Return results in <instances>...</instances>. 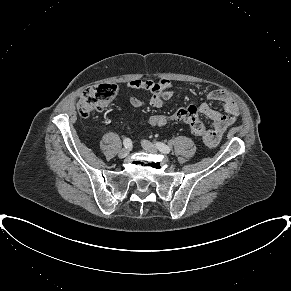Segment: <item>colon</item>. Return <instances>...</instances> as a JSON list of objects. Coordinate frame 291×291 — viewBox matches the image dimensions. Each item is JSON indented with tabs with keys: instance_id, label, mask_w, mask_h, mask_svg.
Wrapping results in <instances>:
<instances>
[{
	"instance_id": "1",
	"label": "colon",
	"mask_w": 291,
	"mask_h": 291,
	"mask_svg": "<svg viewBox=\"0 0 291 291\" xmlns=\"http://www.w3.org/2000/svg\"><path fill=\"white\" fill-rule=\"evenodd\" d=\"M119 94L114 84H100L85 89L78 100L77 111L81 117H87L94 111H101L111 105ZM183 121L190 126L192 133L201 138H210L209 131L199 120L195 106L180 107L170 115L156 114L147 119L151 126H165L171 122Z\"/></svg>"
}]
</instances>
